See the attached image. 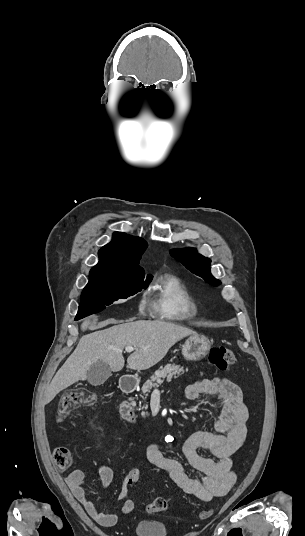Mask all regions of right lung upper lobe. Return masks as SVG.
Returning <instances> with one entry per match:
<instances>
[{
  "instance_id": "obj_1",
  "label": "right lung upper lobe",
  "mask_w": 305,
  "mask_h": 536,
  "mask_svg": "<svg viewBox=\"0 0 305 536\" xmlns=\"http://www.w3.org/2000/svg\"><path fill=\"white\" fill-rule=\"evenodd\" d=\"M146 247L147 243L142 238L115 232L112 242L99 250V262L91 269L90 279L145 278V272L138 264Z\"/></svg>"
}]
</instances>
